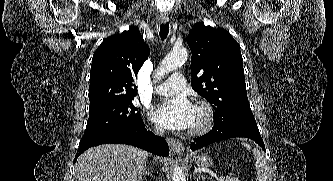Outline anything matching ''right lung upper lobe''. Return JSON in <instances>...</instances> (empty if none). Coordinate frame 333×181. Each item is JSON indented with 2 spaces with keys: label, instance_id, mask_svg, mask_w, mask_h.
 <instances>
[{
  "label": "right lung upper lobe",
  "instance_id": "right-lung-upper-lobe-1",
  "mask_svg": "<svg viewBox=\"0 0 333 181\" xmlns=\"http://www.w3.org/2000/svg\"><path fill=\"white\" fill-rule=\"evenodd\" d=\"M149 53L137 28L107 37L92 58L89 108L134 98V80Z\"/></svg>",
  "mask_w": 333,
  "mask_h": 181
}]
</instances>
